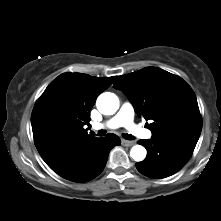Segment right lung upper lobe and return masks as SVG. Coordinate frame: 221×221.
<instances>
[{
  "label": "right lung upper lobe",
  "mask_w": 221,
  "mask_h": 221,
  "mask_svg": "<svg viewBox=\"0 0 221 221\" xmlns=\"http://www.w3.org/2000/svg\"><path fill=\"white\" fill-rule=\"evenodd\" d=\"M115 78L63 73L48 85L31 116L34 142L42 158L95 137L85 128L90 125L89 113Z\"/></svg>",
  "instance_id": "obj_1"
}]
</instances>
